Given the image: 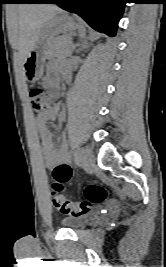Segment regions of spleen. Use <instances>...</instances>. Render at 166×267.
Instances as JSON below:
<instances>
[{
    "label": "spleen",
    "instance_id": "spleen-1",
    "mask_svg": "<svg viewBox=\"0 0 166 267\" xmlns=\"http://www.w3.org/2000/svg\"><path fill=\"white\" fill-rule=\"evenodd\" d=\"M79 33H80V37L81 38H84L85 37V29H84V27L81 26L79 28Z\"/></svg>",
    "mask_w": 166,
    "mask_h": 267
}]
</instances>
